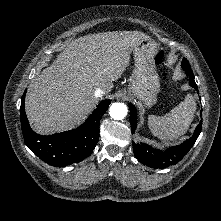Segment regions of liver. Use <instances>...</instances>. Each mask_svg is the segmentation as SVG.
Listing matches in <instances>:
<instances>
[{"label":"liver","mask_w":221,"mask_h":221,"mask_svg":"<svg viewBox=\"0 0 221 221\" xmlns=\"http://www.w3.org/2000/svg\"><path fill=\"white\" fill-rule=\"evenodd\" d=\"M146 37L139 31H113L70 42L29 88L25 110L34 131L61 132L81 122L98 103L95 90H112L131 52Z\"/></svg>","instance_id":"6515ba94"}]
</instances>
